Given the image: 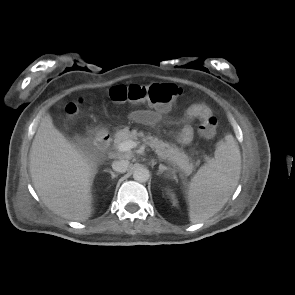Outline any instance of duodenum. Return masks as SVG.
Masks as SVG:
<instances>
[{
    "mask_svg": "<svg viewBox=\"0 0 295 295\" xmlns=\"http://www.w3.org/2000/svg\"><path fill=\"white\" fill-rule=\"evenodd\" d=\"M111 142V136L107 132H100L95 138V147L99 151H105L109 147Z\"/></svg>",
    "mask_w": 295,
    "mask_h": 295,
    "instance_id": "obj_1",
    "label": "duodenum"
}]
</instances>
